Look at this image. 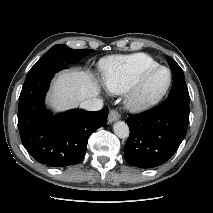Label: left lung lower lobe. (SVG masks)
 I'll return each mask as SVG.
<instances>
[{"label": "left lung lower lobe", "instance_id": "0a47b994", "mask_svg": "<svg viewBox=\"0 0 213 213\" xmlns=\"http://www.w3.org/2000/svg\"><path fill=\"white\" fill-rule=\"evenodd\" d=\"M130 135L124 147L131 166L153 168L166 163L183 141L189 123V99L168 96L157 107L125 120Z\"/></svg>", "mask_w": 213, "mask_h": 213}]
</instances>
